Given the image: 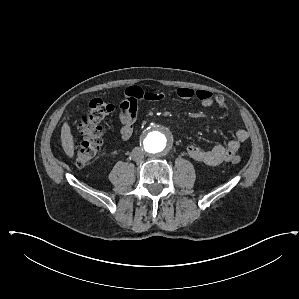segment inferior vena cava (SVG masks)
<instances>
[{
	"label": "inferior vena cava",
	"mask_w": 299,
	"mask_h": 299,
	"mask_svg": "<svg viewBox=\"0 0 299 299\" xmlns=\"http://www.w3.org/2000/svg\"><path fill=\"white\" fill-rule=\"evenodd\" d=\"M132 159L136 162H140L144 158V150L140 147H135L131 153Z\"/></svg>",
	"instance_id": "obj_1"
}]
</instances>
